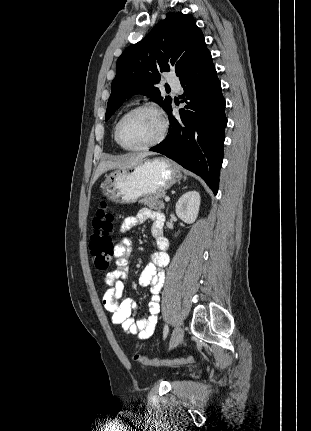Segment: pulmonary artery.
Instances as JSON below:
<instances>
[{
	"label": "pulmonary artery",
	"instance_id": "e3ab8cb5",
	"mask_svg": "<svg viewBox=\"0 0 311 431\" xmlns=\"http://www.w3.org/2000/svg\"><path fill=\"white\" fill-rule=\"evenodd\" d=\"M169 84L172 86V88L180 93L182 91L181 85L179 81H169Z\"/></svg>",
	"mask_w": 311,
	"mask_h": 431
}]
</instances>
